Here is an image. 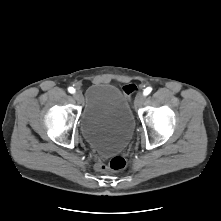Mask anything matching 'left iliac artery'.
Listing matches in <instances>:
<instances>
[{"mask_svg":"<svg viewBox=\"0 0 221 221\" xmlns=\"http://www.w3.org/2000/svg\"><path fill=\"white\" fill-rule=\"evenodd\" d=\"M152 91V88L151 87H147L145 90H144V95H148L150 92Z\"/></svg>","mask_w":221,"mask_h":221,"instance_id":"left-iliac-artery-1","label":"left iliac artery"}]
</instances>
